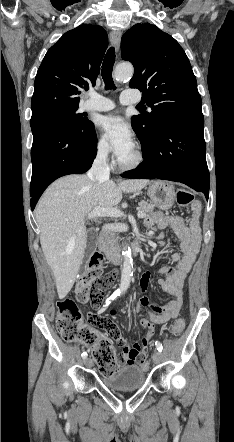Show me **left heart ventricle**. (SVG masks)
Listing matches in <instances>:
<instances>
[{
    "instance_id": "obj_1",
    "label": "left heart ventricle",
    "mask_w": 234,
    "mask_h": 442,
    "mask_svg": "<svg viewBox=\"0 0 234 442\" xmlns=\"http://www.w3.org/2000/svg\"><path fill=\"white\" fill-rule=\"evenodd\" d=\"M135 158V148H133L128 154L120 158L123 162H131Z\"/></svg>"
}]
</instances>
